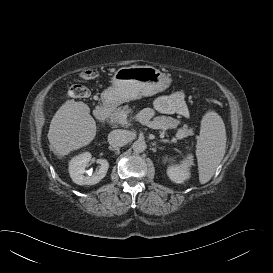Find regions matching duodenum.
I'll use <instances>...</instances> for the list:
<instances>
[{
	"mask_svg": "<svg viewBox=\"0 0 273 273\" xmlns=\"http://www.w3.org/2000/svg\"><path fill=\"white\" fill-rule=\"evenodd\" d=\"M95 115L100 123H104L108 116V109L105 106H98L95 110Z\"/></svg>",
	"mask_w": 273,
	"mask_h": 273,
	"instance_id": "1",
	"label": "duodenum"
}]
</instances>
